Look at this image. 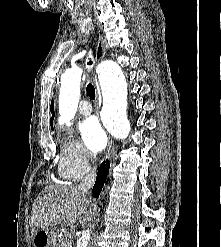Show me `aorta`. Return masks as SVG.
<instances>
[{
    "mask_svg": "<svg viewBox=\"0 0 221 247\" xmlns=\"http://www.w3.org/2000/svg\"><path fill=\"white\" fill-rule=\"evenodd\" d=\"M82 68L67 69L61 76L59 114L62 123L69 124L75 116L79 98ZM99 80L103 97V118L108 131L118 139L127 138L130 123L127 119V83L120 66L114 61H104L99 67ZM92 226L84 229L76 247H88Z\"/></svg>",
    "mask_w": 221,
    "mask_h": 247,
    "instance_id": "762f6f07",
    "label": "aorta"
}]
</instances>
